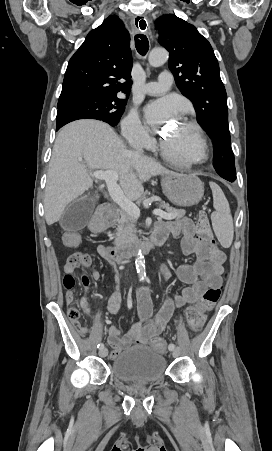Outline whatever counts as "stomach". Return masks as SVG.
<instances>
[{
	"mask_svg": "<svg viewBox=\"0 0 272 451\" xmlns=\"http://www.w3.org/2000/svg\"><path fill=\"white\" fill-rule=\"evenodd\" d=\"M165 196L176 206H196L204 196V188L196 174L162 178Z\"/></svg>",
	"mask_w": 272,
	"mask_h": 451,
	"instance_id": "obj_1",
	"label": "stomach"
}]
</instances>
